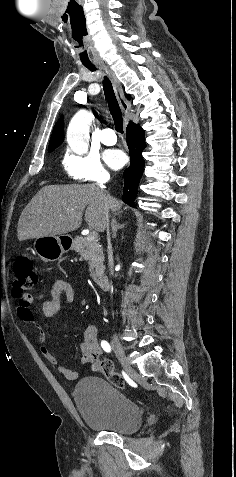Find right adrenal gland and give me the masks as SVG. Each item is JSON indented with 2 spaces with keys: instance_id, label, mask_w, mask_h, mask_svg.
Instances as JSON below:
<instances>
[{
  "instance_id": "obj_1",
  "label": "right adrenal gland",
  "mask_w": 236,
  "mask_h": 477,
  "mask_svg": "<svg viewBox=\"0 0 236 477\" xmlns=\"http://www.w3.org/2000/svg\"><path fill=\"white\" fill-rule=\"evenodd\" d=\"M124 226H125V224H118V223L116 222V219L113 218V219H112V223H111L113 237L116 236L117 230L124 228Z\"/></svg>"
}]
</instances>
